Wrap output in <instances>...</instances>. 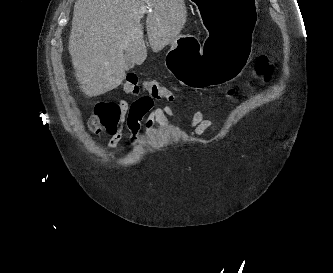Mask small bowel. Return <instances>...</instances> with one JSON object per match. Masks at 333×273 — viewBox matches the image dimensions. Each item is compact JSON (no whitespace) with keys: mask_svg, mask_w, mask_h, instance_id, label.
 <instances>
[{"mask_svg":"<svg viewBox=\"0 0 333 273\" xmlns=\"http://www.w3.org/2000/svg\"><path fill=\"white\" fill-rule=\"evenodd\" d=\"M154 96H138V100L132 104L120 101L119 113L122 114V124L130 131V144H134L139 132L143 128L147 134L151 133L156 124L166 127L167 117L176 115L170 106H161L152 109ZM214 126L212 120L206 119L203 111H196L188 122V127L192 129L197 137H201L204 132ZM108 148L114 150L122 138V128L110 132Z\"/></svg>","mask_w":333,"mask_h":273,"instance_id":"small-bowel-1","label":"small bowel"}]
</instances>
